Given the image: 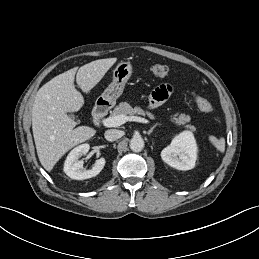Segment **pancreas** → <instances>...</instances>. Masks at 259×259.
Returning a JSON list of instances; mask_svg holds the SVG:
<instances>
[{"label":"pancreas","mask_w":259,"mask_h":259,"mask_svg":"<svg viewBox=\"0 0 259 259\" xmlns=\"http://www.w3.org/2000/svg\"><path fill=\"white\" fill-rule=\"evenodd\" d=\"M147 114L150 118H153L152 113H146L143 109L140 107H131L130 104L127 102H121L112 112V117L118 116V115H125L128 117L134 116V115H145ZM171 122H173L177 126H183L184 128L190 129L192 131H195V127L191 124H187L189 122V117L185 114H175L171 117Z\"/></svg>","instance_id":"pancreas-1"}]
</instances>
